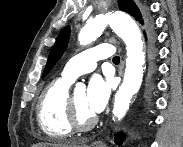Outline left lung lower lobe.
Instances as JSON below:
<instances>
[{
	"label": "left lung lower lobe",
	"mask_w": 183,
	"mask_h": 147,
	"mask_svg": "<svg viewBox=\"0 0 183 147\" xmlns=\"http://www.w3.org/2000/svg\"><path fill=\"white\" fill-rule=\"evenodd\" d=\"M148 41H149V45H150V57H151V60H152V65H151V73L154 74L155 73V65H154V60L156 58V49H155V38L153 36V34L151 32H149L148 34ZM124 140V137L122 134H118L116 137H115V143L116 144H121Z\"/></svg>",
	"instance_id": "left-lung-lower-lobe-1"
}]
</instances>
